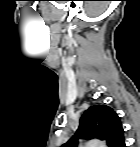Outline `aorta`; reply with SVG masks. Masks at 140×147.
I'll use <instances>...</instances> for the list:
<instances>
[{
    "instance_id": "obj_1",
    "label": "aorta",
    "mask_w": 140,
    "mask_h": 147,
    "mask_svg": "<svg viewBox=\"0 0 140 147\" xmlns=\"http://www.w3.org/2000/svg\"><path fill=\"white\" fill-rule=\"evenodd\" d=\"M87 146L88 147H104L105 144L100 140L94 139V140H90L89 142H87Z\"/></svg>"
}]
</instances>
